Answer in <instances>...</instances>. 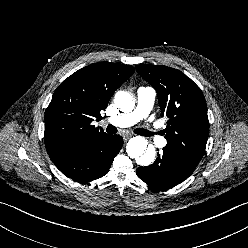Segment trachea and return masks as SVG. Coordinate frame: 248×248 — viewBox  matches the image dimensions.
I'll return each mask as SVG.
<instances>
[{"label": "trachea", "instance_id": "trachea-1", "mask_svg": "<svg viewBox=\"0 0 248 248\" xmlns=\"http://www.w3.org/2000/svg\"><path fill=\"white\" fill-rule=\"evenodd\" d=\"M106 131L109 133V134H115L117 133V128L113 125H108L107 128H106ZM136 134H139V135H142V136H150V133L148 131H146L145 129H141V128H137L135 129L134 131Z\"/></svg>", "mask_w": 248, "mask_h": 248}]
</instances>
